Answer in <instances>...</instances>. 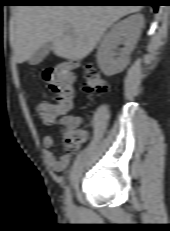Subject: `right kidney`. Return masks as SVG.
Instances as JSON below:
<instances>
[{
  "instance_id": "right-kidney-1",
  "label": "right kidney",
  "mask_w": 170,
  "mask_h": 231,
  "mask_svg": "<svg viewBox=\"0 0 170 231\" xmlns=\"http://www.w3.org/2000/svg\"><path fill=\"white\" fill-rule=\"evenodd\" d=\"M143 26V15H131L114 25L103 37L97 52V62L105 75H115L127 66ZM121 44L124 48L117 53L116 50Z\"/></svg>"
}]
</instances>
